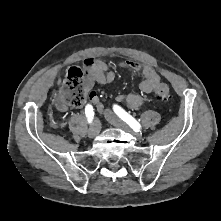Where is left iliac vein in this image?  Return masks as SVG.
<instances>
[{"mask_svg":"<svg viewBox=\"0 0 221 221\" xmlns=\"http://www.w3.org/2000/svg\"><path fill=\"white\" fill-rule=\"evenodd\" d=\"M105 118L109 123L112 125L121 128L127 132L132 133L137 139H141L142 135L141 133L134 132L125 122H123L120 118H118L113 112L110 110H105L104 112Z\"/></svg>","mask_w":221,"mask_h":221,"instance_id":"obj_1","label":"left iliac vein"}]
</instances>
